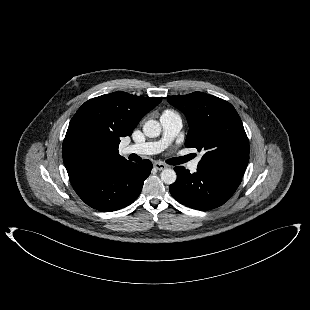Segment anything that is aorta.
Wrapping results in <instances>:
<instances>
[{"label":"aorta","instance_id":"1","mask_svg":"<svg viewBox=\"0 0 310 310\" xmlns=\"http://www.w3.org/2000/svg\"><path fill=\"white\" fill-rule=\"evenodd\" d=\"M144 134L149 138L158 137L161 133V125L156 120H149L143 126ZM161 180L165 184H173L176 181L177 175L173 169H164L160 174Z\"/></svg>","mask_w":310,"mask_h":310}]
</instances>
